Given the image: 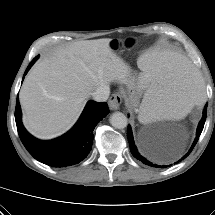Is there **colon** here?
Wrapping results in <instances>:
<instances>
[{
  "label": "colon",
  "mask_w": 215,
  "mask_h": 215,
  "mask_svg": "<svg viewBox=\"0 0 215 215\" xmlns=\"http://www.w3.org/2000/svg\"><path fill=\"white\" fill-rule=\"evenodd\" d=\"M108 47L113 52L121 51L124 54H129L134 49V44L129 39L121 40L118 37H113L108 42Z\"/></svg>",
  "instance_id": "obj_1"
}]
</instances>
